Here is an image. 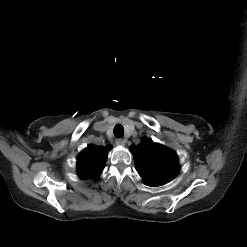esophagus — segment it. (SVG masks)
<instances>
[{
  "label": "esophagus",
  "mask_w": 247,
  "mask_h": 247,
  "mask_svg": "<svg viewBox=\"0 0 247 247\" xmlns=\"http://www.w3.org/2000/svg\"><path fill=\"white\" fill-rule=\"evenodd\" d=\"M115 142H116V145L118 146H124L126 143V141L122 138H117Z\"/></svg>",
  "instance_id": "obj_1"
}]
</instances>
